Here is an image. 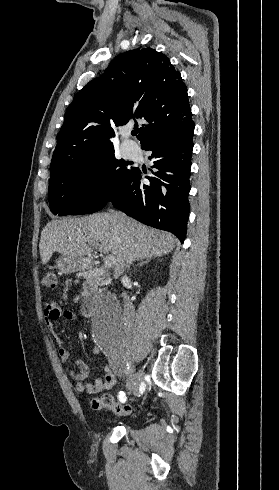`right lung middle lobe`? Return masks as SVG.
<instances>
[{"instance_id":"right-lung-middle-lobe-1","label":"right lung middle lobe","mask_w":279,"mask_h":490,"mask_svg":"<svg viewBox=\"0 0 279 490\" xmlns=\"http://www.w3.org/2000/svg\"><path fill=\"white\" fill-rule=\"evenodd\" d=\"M135 169L117 160L114 149L107 150L92 161L50 178V210L59 216L97 212Z\"/></svg>"}]
</instances>
